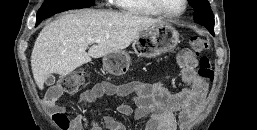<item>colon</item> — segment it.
I'll return each mask as SVG.
<instances>
[{"mask_svg": "<svg viewBox=\"0 0 257 130\" xmlns=\"http://www.w3.org/2000/svg\"><path fill=\"white\" fill-rule=\"evenodd\" d=\"M190 47L194 54L200 55L207 50V41L198 36L190 38ZM198 75L206 81H212L214 78V71L208 57L202 56L199 60ZM87 74L82 71H74L59 79L56 85L51 87V94L58 96L62 93H74L84 83ZM55 123L63 130H67L70 125L69 117L62 112H56L53 115Z\"/></svg>", "mask_w": 257, "mask_h": 130, "instance_id": "5ec220e1", "label": "colon"}]
</instances>
